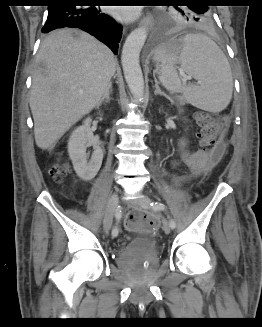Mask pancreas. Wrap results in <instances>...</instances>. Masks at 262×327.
I'll list each match as a JSON object with an SVG mask.
<instances>
[{
	"label": "pancreas",
	"instance_id": "cf45deb5",
	"mask_svg": "<svg viewBox=\"0 0 262 327\" xmlns=\"http://www.w3.org/2000/svg\"><path fill=\"white\" fill-rule=\"evenodd\" d=\"M177 99H178L180 105H184L185 102L182 97H177Z\"/></svg>",
	"mask_w": 262,
	"mask_h": 327
}]
</instances>
